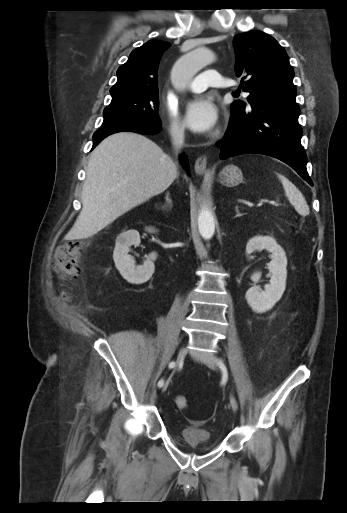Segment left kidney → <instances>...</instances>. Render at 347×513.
Returning <instances> with one entry per match:
<instances>
[{"instance_id":"obj_1","label":"left kidney","mask_w":347,"mask_h":513,"mask_svg":"<svg viewBox=\"0 0 347 513\" xmlns=\"http://www.w3.org/2000/svg\"><path fill=\"white\" fill-rule=\"evenodd\" d=\"M267 250L271 252V262L268 269L271 274L270 284L265 285V290L254 285L246 292V300L253 311L264 313L270 310L282 297L286 288L287 279V257L283 248L270 236H255L246 245V255L256 250ZM261 273L255 272L251 280L257 283Z\"/></svg>"}]
</instances>
